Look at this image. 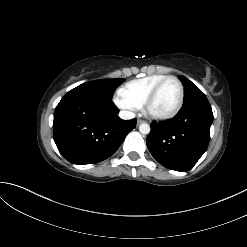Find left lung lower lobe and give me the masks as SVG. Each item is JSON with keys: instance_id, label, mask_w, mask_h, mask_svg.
Here are the masks:
<instances>
[{"instance_id": "obj_1", "label": "left lung lower lobe", "mask_w": 247, "mask_h": 247, "mask_svg": "<svg viewBox=\"0 0 247 247\" xmlns=\"http://www.w3.org/2000/svg\"><path fill=\"white\" fill-rule=\"evenodd\" d=\"M213 113L206 97L184 104L177 115L163 123H152L147 147L164 167L189 171L206 151Z\"/></svg>"}]
</instances>
